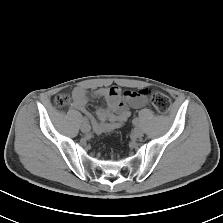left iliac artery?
Returning <instances> with one entry per match:
<instances>
[{
    "mask_svg": "<svg viewBox=\"0 0 223 223\" xmlns=\"http://www.w3.org/2000/svg\"><path fill=\"white\" fill-rule=\"evenodd\" d=\"M132 123H133L135 126L139 125V120H138V118L133 119Z\"/></svg>",
    "mask_w": 223,
    "mask_h": 223,
    "instance_id": "left-iliac-artery-1",
    "label": "left iliac artery"
}]
</instances>
